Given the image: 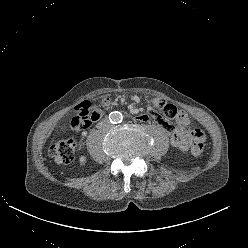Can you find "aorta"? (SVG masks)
I'll list each match as a JSON object with an SVG mask.
<instances>
[{"label":"aorta","instance_id":"obj_1","mask_svg":"<svg viewBox=\"0 0 248 248\" xmlns=\"http://www.w3.org/2000/svg\"><path fill=\"white\" fill-rule=\"evenodd\" d=\"M123 119V116L120 112L114 111L110 113V121L113 123H119Z\"/></svg>","mask_w":248,"mask_h":248}]
</instances>
